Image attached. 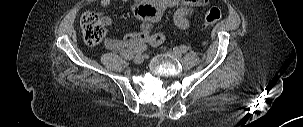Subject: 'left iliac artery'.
<instances>
[{"instance_id":"1","label":"left iliac artery","mask_w":303,"mask_h":127,"mask_svg":"<svg viewBox=\"0 0 303 127\" xmlns=\"http://www.w3.org/2000/svg\"><path fill=\"white\" fill-rule=\"evenodd\" d=\"M179 50H180V52H182V53H186V52H187V48H186V46H184V45L180 46Z\"/></svg>"}]
</instances>
